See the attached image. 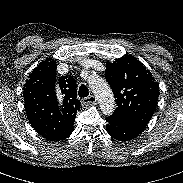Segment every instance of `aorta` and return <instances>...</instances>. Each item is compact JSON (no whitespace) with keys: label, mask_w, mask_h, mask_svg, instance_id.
<instances>
[{"label":"aorta","mask_w":183,"mask_h":183,"mask_svg":"<svg viewBox=\"0 0 183 183\" xmlns=\"http://www.w3.org/2000/svg\"><path fill=\"white\" fill-rule=\"evenodd\" d=\"M90 88L98 99L102 112L110 115L115 109V99L113 92L108 83L99 77H94L89 80Z\"/></svg>","instance_id":"obj_1"}]
</instances>
